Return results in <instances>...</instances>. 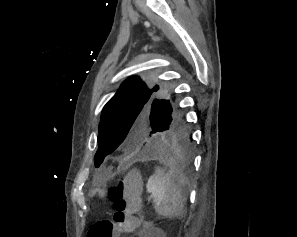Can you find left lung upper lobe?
I'll list each match as a JSON object with an SVG mask.
<instances>
[{
	"label": "left lung upper lobe",
	"instance_id": "1",
	"mask_svg": "<svg viewBox=\"0 0 297 237\" xmlns=\"http://www.w3.org/2000/svg\"><path fill=\"white\" fill-rule=\"evenodd\" d=\"M178 110L167 85H146L138 77L128 78L102 110L95 166L110 154L121 160L143 157L158 130Z\"/></svg>",
	"mask_w": 297,
	"mask_h": 237
}]
</instances>
